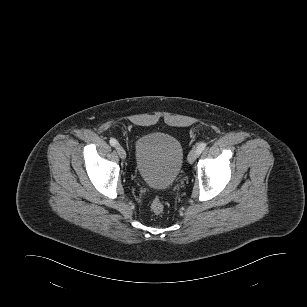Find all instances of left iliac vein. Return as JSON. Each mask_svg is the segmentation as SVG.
<instances>
[{"mask_svg":"<svg viewBox=\"0 0 307 307\" xmlns=\"http://www.w3.org/2000/svg\"><path fill=\"white\" fill-rule=\"evenodd\" d=\"M198 155L199 153L197 149H192L190 153L188 154V162L192 164L197 159Z\"/></svg>","mask_w":307,"mask_h":307,"instance_id":"1","label":"left iliac vein"}]
</instances>
